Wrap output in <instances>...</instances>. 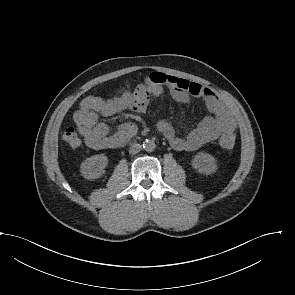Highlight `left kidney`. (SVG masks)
Segmentation results:
<instances>
[{"instance_id":"1","label":"left kidney","mask_w":295,"mask_h":295,"mask_svg":"<svg viewBox=\"0 0 295 295\" xmlns=\"http://www.w3.org/2000/svg\"><path fill=\"white\" fill-rule=\"evenodd\" d=\"M192 167L200 173L210 175L218 169L215 158L208 154L200 152L192 160Z\"/></svg>"}]
</instances>
